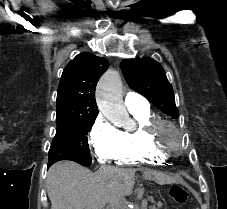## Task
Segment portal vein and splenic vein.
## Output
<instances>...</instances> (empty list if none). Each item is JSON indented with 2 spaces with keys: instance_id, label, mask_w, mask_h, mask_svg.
Wrapping results in <instances>:
<instances>
[{
  "instance_id": "portal-vein-and-splenic-vein-1",
  "label": "portal vein and splenic vein",
  "mask_w": 227,
  "mask_h": 209,
  "mask_svg": "<svg viewBox=\"0 0 227 209\" xmlns=\"http://www.w3.org/2000/svg\"><path fill=\"white\" fill-rule=\"evenodd\" d=\"M149 199H150V200H151V199L153 200L154 198H153V197H152V198L150 197Z\"/></svg>"
}]
</instances>
